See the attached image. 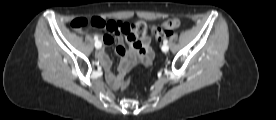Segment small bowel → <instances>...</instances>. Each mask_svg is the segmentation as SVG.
I'll use <instances>...</instances> for the list:
<instances>
[{
  "instance_id": "obj_1",
  "label": "small bowel",
  "mask_w": 276,
  "mask_h": 120,
  "mask_svg": "<svg viewBox=\"0 0 276 120\" xmlns=\"http://www.w3.org/2000/svg\"><path fill=\"white\" fill-rule=\"evenodd\" d=\"M108 26L104 29L107 33L100 35L99 38L104 45L110 46L117 39L116 54L121 58L119 65V75L112 74V65L105 55L103 50L97 53V57L102 65L107 69L108 81L116 85V81L121 80V77L125 75L130 68L140 61L144 64L151 62L153 57V51L148 38L129 40L122 37L121 27L122 23L116 21H107ZM98 37V36H97Z\"/></svg>"
}]
</instances>
